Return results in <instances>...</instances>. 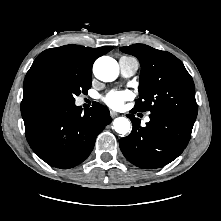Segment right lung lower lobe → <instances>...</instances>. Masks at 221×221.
<instances>
[{"mask_svg": "<svg viewBox=\"0 0 221 221\" xmlns=\"http://www.w3.org/2000/svg\"><path fill=\"white\" fill-rule=\"evenodd\" d=\"M22 117L32 150L47 164L63 169L83 162L97 135L112 121L109 110L99 103L82 113L75 103L41 102Z\"/></svg>", "mask_w": 221, "mask_h": 221, "instance_id": "1", "label": "right lung lower lobe"}]
</instances>
